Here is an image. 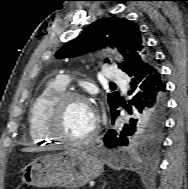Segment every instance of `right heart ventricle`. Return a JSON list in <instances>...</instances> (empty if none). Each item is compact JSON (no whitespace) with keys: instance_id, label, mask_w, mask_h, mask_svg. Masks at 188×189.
I'll use <instances>...</instances> for the list:
<instances>
[{"instance_id":"1","label":"right heart ventricle","mask_w":188,"mask_h":189,"mask_svg":"<svg viewBox=\"0 0 188 189\" xmlns=\"http://www.w3.org/2000/svg\"><path fill=\"white\" fill-rule=\"evenodd\" d=\"M65 91V85L58 79L50 81L32 101L28 110V132L34 144L54 142L48 135L46 113L51 103Z\"/></svg>"}]
</instances>
